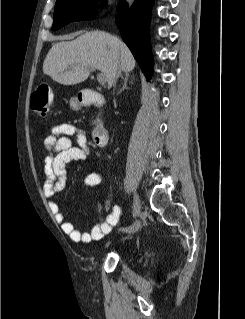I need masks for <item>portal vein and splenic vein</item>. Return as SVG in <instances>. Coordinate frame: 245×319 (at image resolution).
Segmentation results:
<instances>
[{"mask_svg":"<svg viewBox=\"0 0 245 319\" xmlns=\"http://www.w3.org/2000/svg\"><path fill=\"white\" fill-rule=\"evenodd\" d=\"M90 71H95L96 70V68H90L89 69ZM97 80H98V82L100 83V84H105V82H106V77H105V75L102 73V72H100V73H98L97 74Z\"/></svg>","mask_w":245,"mask_h":319,"instance_id":"1","label":"portal vein and splenic vein"}]
</instances>
